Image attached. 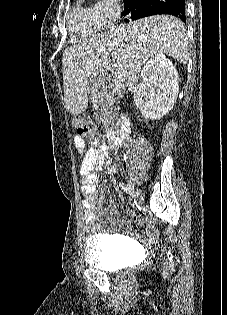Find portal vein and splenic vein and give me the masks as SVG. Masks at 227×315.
Listing matches in <instances>:
<instances>
[{
	"label": "portal vein and splenic vein",
	"mask_w": 227,
	"mask_h": 315,
	"mask_svg": "<svg viewBox=\"0 0 227 315\" xmlns=\"http://www.w3.org/2000/svg\"><path fill=\"white\" fill-rule=\"evenodd\" d=\"M112 71L115 74V82H117V83L126 77L125 71L118 69L115 64L112 65Z\"/></svg>",
	"instance_id": "18ae733b"
}]
</instances>
